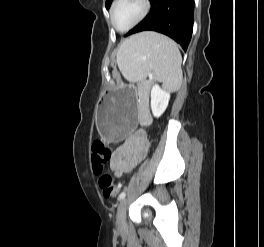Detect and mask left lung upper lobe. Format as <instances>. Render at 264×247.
Here are the masks:
<instances>
[{
    "instance_id": "1",
    "label": "left lung upper lobe",
    "mask_w": 264,
    "mask_h": 247,
    "mask_svg": "<svg viewBox=\"0 0 264 247\" xmlns=\"http://www.w3.org/2000/svg\"><path fill=\"white\" fill-rule=\"evenodd\" d=\"M112 0H106V8L108 9L111 5Z\"/></svg>"
}]
</instances>
